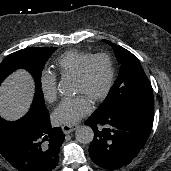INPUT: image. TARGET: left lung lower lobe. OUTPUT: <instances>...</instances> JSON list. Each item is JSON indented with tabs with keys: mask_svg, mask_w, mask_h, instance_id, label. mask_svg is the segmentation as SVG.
<instances>
[{
	"mask_svg": "<svg viewBox=\"0 0 171 171\" xmlns=\"http://www.w3.org/2000/svg\"><path fill=\"white\" fill-rule=\"evenodd\" d=\"M153 118L154 108L147 107H130L89 117L85 124L95 134L89 147L92 161L110 170L128 165L145 145Z\"/></svg>",
	"mask_w": 171,
	"mask_h": 171,
	"instance_id": "1",
	"label": "left lung lower lobe"
}]
</instances>
